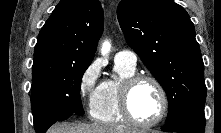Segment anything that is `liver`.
I'll return each mask as SVG.
<instances>
[{"mask_svg": "<svg viewBox=\"0 0 221 133\" xmlns=\"http://www.w3.org/2000/svg\"><path fill=\"white\" fill-rule=\"evenodd\" d=\"M48 133H142L138 129L101 123H62L56 124Z\"/></svg>", "mask_w": 221, "mask_h": 133, "instance_id": "liver-1", "label": "liver"}]
</instances>
